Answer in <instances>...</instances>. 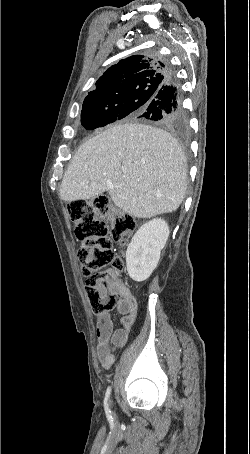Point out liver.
<instances>
[{"label":"liver","instance_id":"obj_1","mask_svg":"<svg viewBox=\"0 0 250 454\" xmlns=\"http://www.w3.org/2000/svg\"><path fill=\"white\" fill-rule=\"evenodd\" d=\"M186 180L185 157L168 132L124 123L79 147L62 179L60 197L87 200L107 191L127 214L151 218L177 210Z\"/></svg>","mask_w":250,"mask_h":454}]
</instances>
